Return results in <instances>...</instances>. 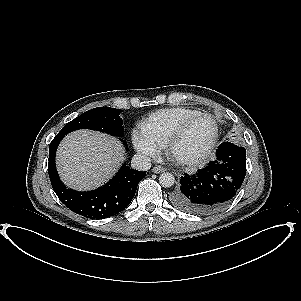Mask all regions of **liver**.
Instances as JSON below:
<instances>
[{"label":"liver","mask_w":301,"mask_h":301,"mask_svg":"<svg viewBox=\"0 0 301 301\" xmlns=\"http://www.w3.org/2000/svg\"><path fill=\"white\" fill-rule=\"evenodd\" d=\"M124 159L123 145L116 138L97 131L78 130L61 141L56 165L67 186L91 190L108 181Z\"/></svg>","instance_id":"liver-1"}]
</instances>
